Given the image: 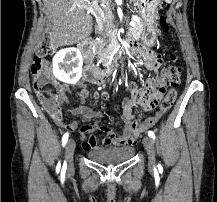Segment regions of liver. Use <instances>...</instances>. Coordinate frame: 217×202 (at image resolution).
<instances>
[{
    "label": "liver",
    "mask_w": 217,
    "mask_h": 202,
    "mask_svg": "<svg viewBox=\"0 0 217 202\" xmlns=\"http://www.w3.org/2000/svg\"><path fill=\"white\" fill-rule=\"evenodd\" d=\"M47 14L52 18L51 44L72 46L89 38L93 30L89 14L90 0H43ZM137 2V0H132Z\"/></svg>",
    "instance_id": "6515ba94"
}]
</instances>
